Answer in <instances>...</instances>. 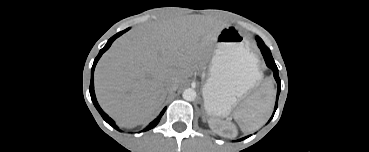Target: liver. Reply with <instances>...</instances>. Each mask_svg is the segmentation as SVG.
Segmentation results:
<instances>
[{
  "mask_svg": "<svg viewBox=\"0 0 369 152\" xmlns=\"http://www.w3.org/2000/svg\"><path fill=\"white\" fill-rule=\"evenodd\" d=\"M222 27L179 18L139 26L116 40L95 69V92L120 127L149 121L167 96V82L183 84L203 64Z\"/></svg>",
  "mask_w": 369,
  "mask_h": 152,
  "instance_id": "6515ba94",
  "label": "liver"
}]
</instances>
